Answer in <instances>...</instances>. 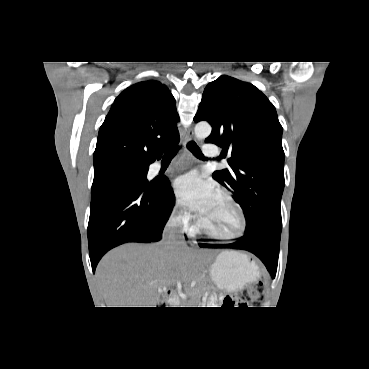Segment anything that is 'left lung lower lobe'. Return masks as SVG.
Listing matches in <instances>:
<instances>
[{"label": "left lung lower lobe", "instance_id": "0a47b994", "mask_svg": "<svg viewBox=\"0 0 369 369\" xmlns=\"http://www.w3.org/2000/svg\"><path fill=\"white\" fill-rule=\"evenodd\" d=\"M281 230L263 229L252 235H245L232 244H199L203 248H233L247 250L255 254L271 272L277 271Z\"/></svg>", "mask_w": 369, "mask_h": 369}]
</instances>
